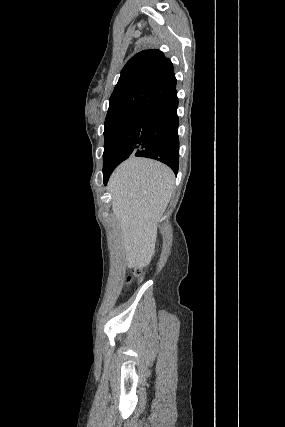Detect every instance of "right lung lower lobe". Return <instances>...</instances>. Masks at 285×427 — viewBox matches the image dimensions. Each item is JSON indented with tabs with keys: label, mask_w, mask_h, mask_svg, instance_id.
I'll return each mask as SVG.
<instances>
[{
	"label": "right lung lower lobe",
	"mask_w": 285,
	"mask_h": 427,
	"mask_svg": "<svg viewBox=\"0 0 285 427\" xmlns=\"http://www.w3.org/2000/svg\"><path fill=\"white\" fill-rule=\"evenodd\" d=\"M177 92L146 111L135 156L152 158L168 165L175 174L179 165ZM112 171L103 172L104 184Z\"/></svg>",
	"instance_id": "right-lung-lower-lobe-1"
}]
</instances>
